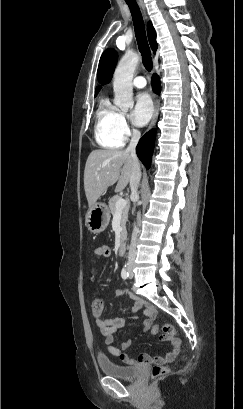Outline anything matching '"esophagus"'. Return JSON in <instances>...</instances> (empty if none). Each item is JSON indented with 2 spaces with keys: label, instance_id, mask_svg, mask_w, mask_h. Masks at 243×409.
Masks as SVG:
<instances>
[{
  "label": "esophagus",
  "instance_id": "obj_1",
  "mask_svg": "<svg viewBox=\"0 0 243 409\" xmlns=\"http://www.w3.org/2000/svg\"><path fill=\"white\" fill-rule=\"evenodd\" d=\"M140 6L142 8V11L144 13V15H146V10H145V5L143 4V2H140ZM158 114H159V100L157 98V96H154V113H153V117H152V121L150 124V129L154 127V125L156 124L157 118H158Z\"/></svg>",
  "mask_w": 243,
  "mask_h": 409
}]
</instances>
